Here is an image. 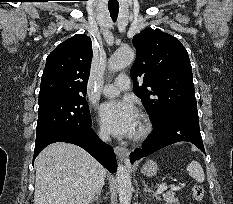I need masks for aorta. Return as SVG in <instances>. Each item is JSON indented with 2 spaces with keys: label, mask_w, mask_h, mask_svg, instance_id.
<instances>
[{
  "label": "aorta",
  "mask_w": 233,
  "mask_h": 204,
  "mask_svg": "<svg viewBox=\"0 0 233 204\" xmlns=\"http://www.w3.org/2000/svg\"><path fill=\"white\" fill-rule=\"evenodd\" d=\"M135 58V52L130 47H122L114 52L108 61V68L111 71H120L130 65ZM117 183L120 204H130L133 187L128 169L123 164H118Z\"/></svg>",
  "instance_id": "obj_1"
}]
</instances>
